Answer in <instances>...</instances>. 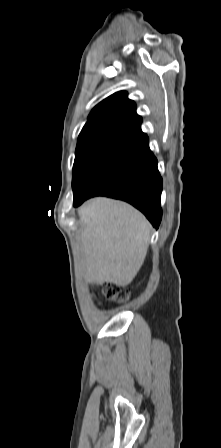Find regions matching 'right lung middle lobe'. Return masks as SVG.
I'll use <instances>...</instances> for the list:
<instances>
[{"label":"right lung middle lobe","mask_w":221,"mask_h":448,"mask_svg":"<svg viewBox=\"0 0 221 448\" xmlns=\"http://www.w3.org/2000/svg\"><path fill=\"white\" fill-rule=\"evenodd\" d=\"M113 148L107 145H94L76 149L72 178L74 198L93 170Z\"/></svg>","instance_id":"1"}]
</instances>
